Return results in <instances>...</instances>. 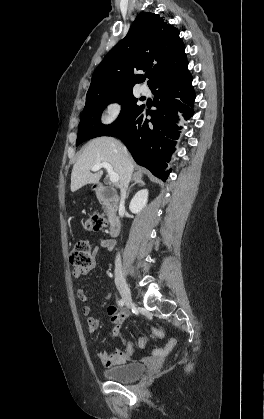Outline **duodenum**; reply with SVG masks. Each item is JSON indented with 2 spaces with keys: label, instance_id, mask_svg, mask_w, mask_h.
Returning <instances> with one entry per match:
<instances>
[{
  "label": "duodenum",
  "instance_id": "410a0bca",
  "mask_svg": "<svg viewBox=\"0 0 264 419\" xmlns=\"http://www.w3.org/2000/svg\"><path fill=\"white\" fill-rule=\"evenodd\" d=\"M96 194L99 200L105 202L112 208V213L110 215L109 235L115 237L119 234L121 228L120 217L115 212V207L119 202V197L114 192L106 191L102 185H98L96 187Z\"/></svg>",
  "mask_w": 264,
  "mask_h": 419
}]
</instances>
